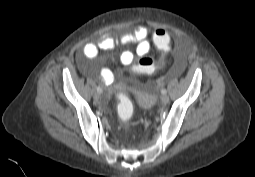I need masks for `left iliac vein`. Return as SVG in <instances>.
Instances as JSON below:
<instances>
[{
    "mask_svg": "<svg viewBox=\"0 0 255 177\" xmlns=\"http://www.w3.org/2000/svg\"><path fill=\"white\" fill-rule=\"evenodd\" d=\"M161 102H162L163 104H167V103L169 102V97H168L167 95L163 94V95L161 96Z\"/></svg>",
    "mask_w": 255,
    "mask_h": 177,
    "instance_id": "1",
    "label": "left iliac vein"
}]
</instances>
